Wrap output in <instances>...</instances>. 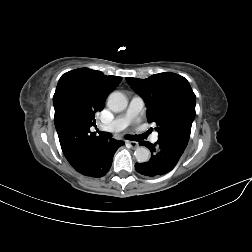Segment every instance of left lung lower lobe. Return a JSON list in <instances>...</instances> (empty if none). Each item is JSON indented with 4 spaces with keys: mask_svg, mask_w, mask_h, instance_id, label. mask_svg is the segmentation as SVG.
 <instances>
[{
    "mask_svg": "<svg viewBox=\"0 0 252 252\" xmlns=\"http://www.w3.org/2000/svg\"><path fill=\"white\" fill-rule=\"evenodd\" d=\"M151 151L148 162L136 163L138 173L147 177H157L170 172L178 163L186 146L172 139L161 138L155 144L142 141Z\"/></svg>",
    "mask_w": 252,
    "mask_h": 252,
    "instance_id": "left-lung-lower-lobe-1",
    "label": "left lung lower lobe"
}]
</instances>
